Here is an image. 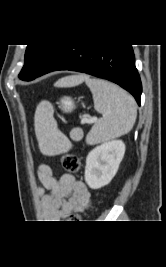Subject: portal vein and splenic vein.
<instances>
[{"label": "portal vein and splenic vein", "instance_id": "1", "mask_svg": "<svg viewBox=\"0 0 166 267\" xmlns=\"http://www.w3.org/2000/svg\"><path fill=\"white\" fill-rule=\"evenodd\" d=\"M96 120H97L96 118H89V119H85L83 122L84 123H87V124H91V123H93Z\"/></svg>", "mask_w": 166, "mask_h": 267}]
</instances>
